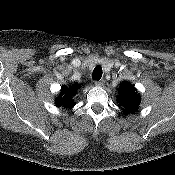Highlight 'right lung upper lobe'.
Instances as JSON below:
<instances>
[{"label": "right lung upper lobe", "instance_id": "1", "mask_svg": "<svg viewBox=\"0 0 175 175\" xmlns=\"http://www.w3.org/2000/svg\"><path fill=\"white\" fill-rule=\"evenodd\" d=\"M80 88V85L75 84L72 86H63L61 88L60 95L56 98L55 104L58 107H64L71 109L75 104L73 102V96L76 94V91Z\"/></svg>", "mask_w": 175, "mask_h": 175}]
</instances>
